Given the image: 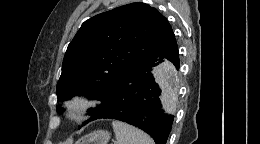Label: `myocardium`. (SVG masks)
<instances>
[{"mask_svg":"<svg viewBox=\"0 0 260 144\" xmlns=\"http://www.w3.org/2000/svg\"><path fill=\"white\" fill-rule=\"evenodd\" d=\"M66 117L76 123L83 122L94 106V102L86 94H75L65 102Z\"/></svg>","mask_w":260,"mask_h":144,"instance_id":"f54148a6","label":"myocardium"}]
</instances>
